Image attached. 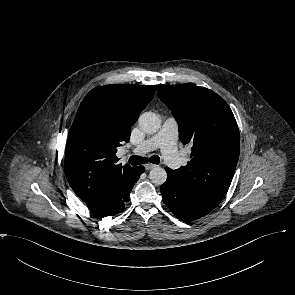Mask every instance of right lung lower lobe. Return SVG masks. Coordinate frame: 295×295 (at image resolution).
<instances>
[{
	"mask_svg": "<svg viewBox=\"0 0 295 295\" xmlns=\"http://www.w3.org/2000/svg\"><path fill=\"white\" fill-rule=\"evenodd\" d=\"M145 171L143 166L132 167L115 182L102 188L88 205L97 218L114 216L121 212L129 201L130 192L139 176Z\"/></svg>",
	"mask_w": 295,
	"mask_h": 295,
	"instance_id": "1",
	"label": "right lung lower lobe"
}]
</instances>
